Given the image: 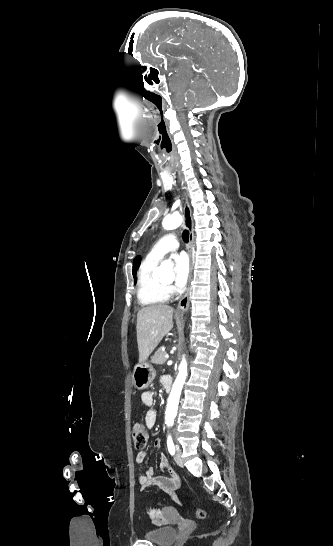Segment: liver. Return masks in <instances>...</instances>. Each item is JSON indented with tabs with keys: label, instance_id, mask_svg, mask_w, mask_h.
I'll return each instance as SVG.
<instances>
[{
	"label": "liver",
	"instance_id": "6515ba94",
	"mask_svg": "<svg viewBox=\"0 0 333 546\" xmlns=\"http://www.w3.org/2000/svg\"><path fill=\"white\" fill-rule=\"evenodd\" d=\"M173 328V308L152 305L137 314V343L139 361L145 362L163 337Z\"/></svg>",
	"mask_w": 333,
	"mask_h": 546
}]
</instances>
